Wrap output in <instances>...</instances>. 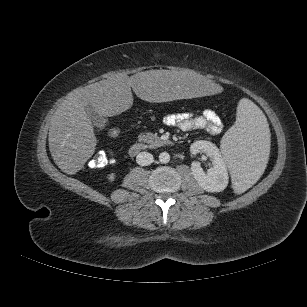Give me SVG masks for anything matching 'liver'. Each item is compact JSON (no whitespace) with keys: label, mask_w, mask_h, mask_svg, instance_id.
<instances>
[{"label":"liver","mask_w":307,"mask_h":307,"mask_svg":"<svg viewBox=\"0 0 307 307\" xmlns=\"http://www.w3.org/2000/svg\"><path fill=\"white\" fill-rule=\"evenodd\" d=\"M131 88L142 100L158 103L195 96L216 99L223 92L219 81H207L189 69L118 74L73 90L52 116L48 135L51 156L64 173L81 170L95 151L97 139L86 108L107 117L121 114L133 104Z\"/></svg>","instance_id":"6515ba94"}]
</instances>
